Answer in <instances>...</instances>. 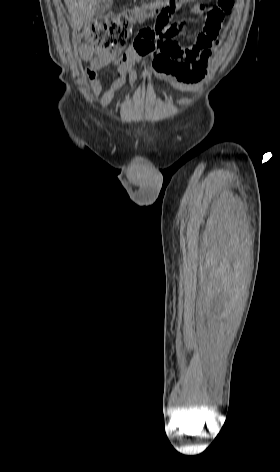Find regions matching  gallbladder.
Listing matches in <instances>:
<instances>
[{
  "mask_svg": "<svg viewBox=\"0 0 280 472\" xmlns=\"http://www.w3.org/2000/svg\"><path fill=\"white\" fill-rule=\"evenodd\" d=\"M113 0H97L95 14L106 13L112 6Z\"/></svg>",
  "mask_w": 280,
  "mask_h": 472,
  "instance_id": "obj_1",
  "label": "gallbladder"
}]
</instances>
